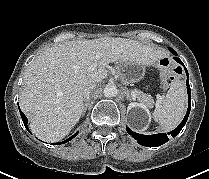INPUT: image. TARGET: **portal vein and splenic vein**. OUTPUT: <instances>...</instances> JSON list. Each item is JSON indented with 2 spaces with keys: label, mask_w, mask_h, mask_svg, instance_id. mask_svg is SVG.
Returning a JSON list of instances; mask_svg holds the SVG:
<instances>
[{
  "label": "portal vein and splenic vein",
  "mask_w": 209,
  "mask_h": 179,
  "mask_svg": "<svg viewBox=\"0 0 209 179\" xmlns=\"http://www.w3.org/2000/svg\"><path fill=\"white\" fill-rule=\"evenodd\" d=\"M102 55H103L102 53H98L96 55L97 60L89 67L90 71H94L96 69V67L98 65V60L102 57Z\"/></svg>",
  "instance_id": "18ae733b"
}]
</instances>
